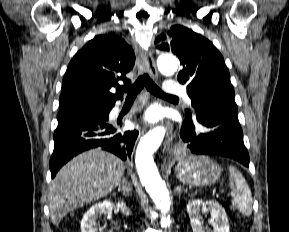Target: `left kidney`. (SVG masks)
Segmentation results:
<instances>
[{"label": "left kidney", "instance_id": "1", "mask_svg": "<svg viewBox=\"0 0 289 232\" xmlns=\"http://www.w3.org/2000/svg\"><path fill=\"white\" fill-rule=\"evenodd\" d=\"M187 212L189 214L193 232H230L229 222L224 208L211 200L193 199L187 204ZM210 212V224L212 230L203 226L201 221V213Z\"/></svg>", "mask_w": 289, "mask_h": 232}]
</instances>
